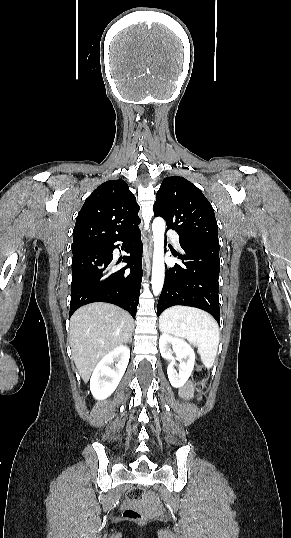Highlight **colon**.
<instances>
[{
    "mask_svg": "<svg viewBox=\"0 0 291 538\" xmlns=\"http://www.w3.org/2000/svg\"><path fill=\"white\" fill-rule=\"evenodd\" d=\"M207 378H208V373L202 367H199L193 375L194 382L196 383L198 388H201L205 385ZM142 496H143V490L137 487H133L127 492V498L130 501H137L141 499ZM124 517L130 520H137V521L146 520V515L144 513H141L132 508H128L124 511Z\"/></svg>",
    "mask_w": 291,
    "mask_h": 538,
    "instance_id": "1",
    "label": "colon"
}]
</instances>
